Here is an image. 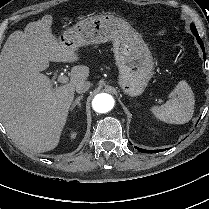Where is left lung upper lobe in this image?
<instances>
[{
	"instance_id": "5c2ea615",
	"label": "left lung upper lobe",
	"mask_w": 209,
	"mask_h": 209,
	"mask_svg": "<svg viewBox=\"0 0 209 209\" xmlns=\"http://www.w3.org/2000/svg\"><path fill=\"white\" fill-rule=\"evenodd\" d=\"M196 30V27H195V25L194 24H191V30Z\"/></svg>"
}]
</instances>
